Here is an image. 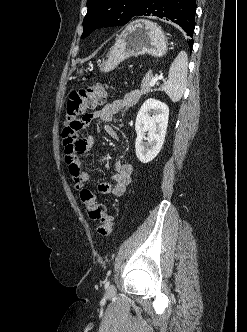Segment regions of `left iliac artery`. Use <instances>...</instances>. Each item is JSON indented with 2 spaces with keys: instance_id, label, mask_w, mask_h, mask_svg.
Wrapping results in <instances>:
<instances>
[{
  "instance_id": "left-iliac-artery-1",
  "label": "left iliac artery",
  "mask_w": 247,
  "mask_h": 332,
  "mask_svg": "<svg viewBox=\"0 0 247 332\" xmlns=\"http://www.w3.org/2000/svg\"><path fill=\"white\" fill-rule=\"evenodd\" d=\"M109 281L106 282L105 287L107 288L109 286Z\"/></svg>"
}]
</instances>
